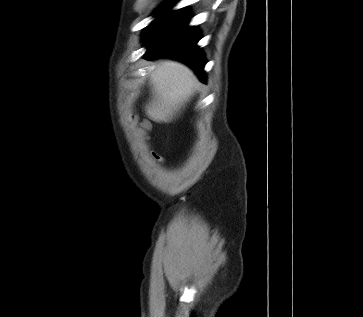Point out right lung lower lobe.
Wrapping results in <instances>:
<instances>
[{"label": "right lung lower lobe", "instance_id": "98d812e1", "mask_svg": "<svg viewBox=\"0 0 363 317\" xmlns=\"http://www.w3.org/2000/svg\"><path fill=\"white\" fill-rule=\"evenodd\" d=\"M191 16L185 9L170 12L161 17L145 34V53L148 59L168 56L189 65L205 82L203 67L205 59L196 46L199 33L194 27H188Z\"/></svg>", "mask_w": 363, "mask_h": 317}]
</instances>
